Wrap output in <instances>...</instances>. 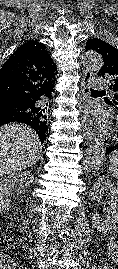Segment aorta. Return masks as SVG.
Masks as SVG:
<instances>
[{"instance_id":"1","label":"aorta","mask_w":118,"mask_h":269,"mask_svg":"<svg viewBox=\"0 0 118 269\" xmlns=\"http://www.w3.org/2000/svg\"><path fill=\"white\" fill-rule=\"evenodd\" d=\"M83 64L92 69L99 70L103 65L102 57L95 52H87L82 57ZM106 148L105 145L99 140L95 141L90 145L89 149L86 151L83 168L86 171H96L98 170L104 162Z\"/></svg>"}]
</instances>
